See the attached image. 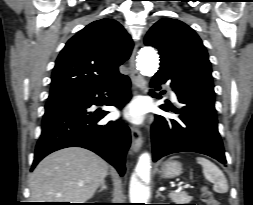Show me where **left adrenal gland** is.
I'll return each mask as SVG.
<instances>
[{
    "mask_svg": "<svg viewBox=\"0 0 253 205\" xmlns=\"http://www.w3.org/2000/svg\"><path fill=\"white\" fill-rule=\"evenodd\" d=\"M157 197H162V198L164 197V196L160 193L159 190L156 191V198H157Z\"/></svg>",
    "mask_w": 253,
    "mask_h": 205,
    "instance_id": "a2214340",
    "label": "left adrenal gland"
}]
</instances>
